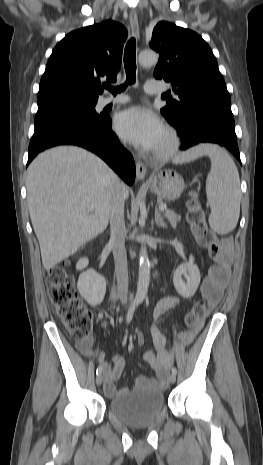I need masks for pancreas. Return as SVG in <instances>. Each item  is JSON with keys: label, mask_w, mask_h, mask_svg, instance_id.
<instances>
[{"label": "pancreas", "mask_w": 263, "mask_h": 465, "mask_svg": "<svg viewBox=\"0 0 263 465\" xmlns=\"http://www.w3.org/2000/svg\"><path fill=\"white\" fill-rule=\"evenodd\" d=\"M165 216L170 222L172 227H176L177 223L180 221L181 217L177 215L174 211L167 210Z\"/></svg>", "instance_id": "1"}]
</instances>
